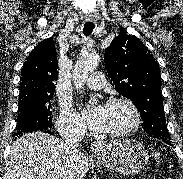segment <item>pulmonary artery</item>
<instances>
[{
    "instance_id": "obj_1",
    "label": "pulmonary artery",
    "mask_w": 183,
    "mask_h": 179,
    "mask_svg": "<svg viewBox=\"0 0 183 179\" xmlns=\"http://www.w3.org/2000/svg\"><path fill=\"white\" fill-rule=\"evenodd\" d=\"M105 85V77L102 72H94L86 80V86L93 90H99Z\"/></svg>"
}]
</instances>
